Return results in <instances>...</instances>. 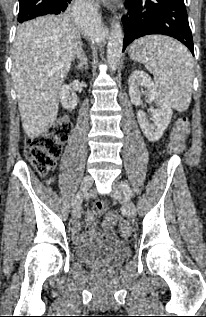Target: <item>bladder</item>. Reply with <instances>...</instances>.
Segmentation results:
<instances>
[{
	"mask_svg": "<svg viewBox=\"0 0 206 317\" xmlns=\"http://www.w3.org/2000/svg\"><path fill=\"white\" fill-rule=\"evenodd\" d=\"M130 246L127 242L113 238H98L75 250V259L83 263L99 261L116 262L130 255Z\"/></svg>",
	"mask_w": 206,
	"mask_h": 317,
	"instance_id": "1",
	"label": "bladder"
}]
</instances>
